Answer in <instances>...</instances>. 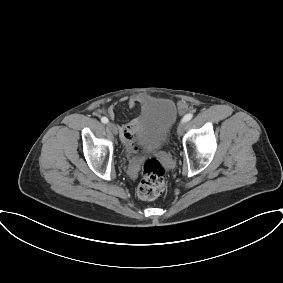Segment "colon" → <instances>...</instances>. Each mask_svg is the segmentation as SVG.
I'll return each mask as SVG.
<instances>
[{
    "label": "colon",
    "instance_id": "5ec220e1",
    "mask_svg": "<svg viewBox=\"0 0 283 283\" xmlns=\"http://www.w3.org/2000/svg\"><path fill=\"white\" fill-rule=\"evenodd\" d=\"M166 183V170L156 159H148L142 169V177L137 194L140 199L151 201L164 191Z\"/></svg>",
    "mask_w": 283,
    "mask_h": 283
}]
</instances>
